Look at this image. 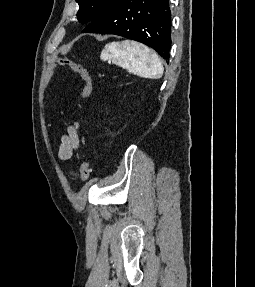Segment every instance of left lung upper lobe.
I'll list each match as a JSON object with an SVG mask.
<instances>
[{"label": "left lung upper lobe", "instance_id": "left-lung-upper-lobe-1", "mask_svg": "<svg viewBox=\"0 0 255 287\" xmlns=\"http://www.w3.org/2000/svg\"><path fill=\"white\" fill-rule=\"evenodd\" d=\"M79 4L77 19L85 24L91 22L111 0H75Z\"/></svg>", "mask_w": 255, "mask_h": 287}]
</instances>
